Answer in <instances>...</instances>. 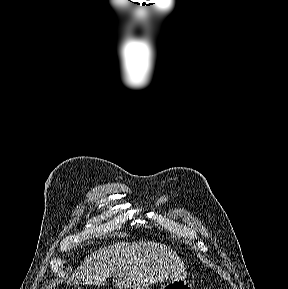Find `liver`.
I'll return each instance as SVG.
<instances>
[{
	"label": "liver",
	"instance_id": "liver-1",
	"mask_svg": "<svg viewBox=\"0 0 288 289\" xmlns=\"http://www.w3.org/2000/svg\"><path fill=\"white\" fill-rule=\"evenodd\" d=\"M186 268L169 247L156 242H117L93 252L67 281L69 285L102 286L114 276L116 287L145 289L184 278Z\"/></svg>",
	"mask_w": 288,
	"mask_h": 289
}]
</instances>
